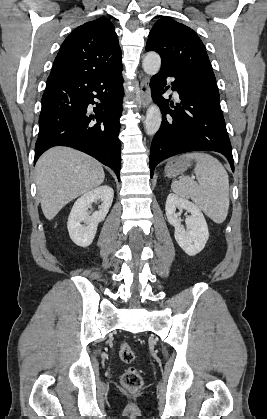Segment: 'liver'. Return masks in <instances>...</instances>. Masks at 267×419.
Instances as JSON below:
<instances>
[{
    "label": "liver",
    "mask_w": 267,
    "mask_h": 419,
    "mask_svg": "<svg viewBox=\"0 0 267 419\" xmlns=\"http://www.w3.org/2000/svg\"><path fill=\"white\" fill-rule=\"evenodd\" d=\"M44 216L52 220L70 201L101 185L105 173L94 158L68 147L46 151L35 166Z\"/></svg>",
    "instance_id": "obj_1"
}]
</instances>
